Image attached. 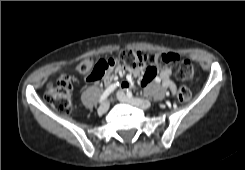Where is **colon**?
Returning a JSON list of instances; mask_svg holds the SVG:
<instances>
[{
	"label": "colon",
	"instance_id": "5ec220e1",
	"mask_svg": "<svg viewBox=\"0 0 245 170\" xmlns=\"http://www.w3.org/2000/svg\"><path fill=\"white\" fill-rule=\"evenodd\" d=\"M118 65L129 70H137L146 66H176V75L181 80H191L195 73L193 65L186 61L180 62L175 53H146L128 49L97 62L91 59H84L77 63L76 70L87 80L94 81L100 79L108 70ZM148 71L152 73V70ZM71 94L72 78L63 75L47 85L44 98L54 110L62 114H68L73 108ZM178 98L181 102H188L191 98L190 90L186 87H181L178 91Z\"/></svg>",
	"mask_w": 245,
	"mask_h": 170
}]
</instances>
